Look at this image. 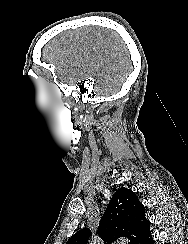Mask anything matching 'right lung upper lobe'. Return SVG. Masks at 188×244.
<instances>
[{
	"instance_id": "right-lung-upper-lobe-1",
	"label": "right lung upper lobe",
	"mask_w": 188,
	"mask_h": 244,
	"mask_svg": "<svg viewBox=\"0 0 188 244\" xmlns=\"http://www.w3.org/2000/svg\"><path fill=\"white\" fill-rule=\"evenodd\" d=\"M150 227L145 217V208L131 190L121 187L113 195L103 214L98 235L105 243L127 238L130 244H138ZM92 235L89 228L77 230L66 244H86Z\"/></svg>"
}]
</instances>
